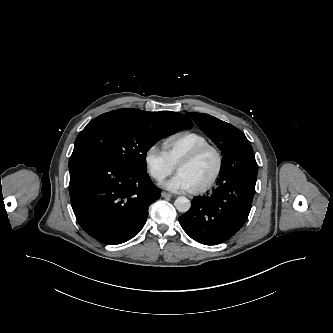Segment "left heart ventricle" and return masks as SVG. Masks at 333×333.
<instances>
[{"label":"left heart ventricle","mask_w":333,"mask_h":333,"mask_svg":"<svg viewBox=\"0 0 333 333\" xmlns=\"http://www.w3.org/2000/svg\"><path fill=\"white\" fill-rule=\"evenodd\" d=\"M216 156L207 152L196 161L183 165L178 172L182 173L192 184L193 189L206 183L213 175L216 168Z\"/></svg>","instance_id":"b2bd125f"}]
</instances>
